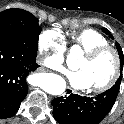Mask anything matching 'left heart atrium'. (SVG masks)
I'll use <instances>...</instances> for the list:
<instances>
[{
	"mask_svg": "<svg viewBox=\"0 0 124 124\" xmlns=\"http://www.w3.org/2000/svg\"><path fill=\"white\" fill-rule=\"evenodd\" d=\"M67 78L70 84L77 89H88L90 88V83L87 74L83 70H77L67 73Z\"/></svg>",
	"mask_w": 124,
	"mask_h": 124,
	"instance_id": "left-heart-atrium-1",
	"label": "left heart atrium"
}]
</instances>
